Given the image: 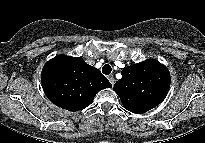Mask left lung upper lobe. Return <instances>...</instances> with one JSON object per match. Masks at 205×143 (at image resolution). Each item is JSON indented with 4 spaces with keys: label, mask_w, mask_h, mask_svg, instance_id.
<instances>
[{
    "label": "left lung upper lobe",
    "mask_w": 205,
    "mask_h": 143,
    "mask_svg": "<svg viewBox=\"0 0 205 143\" xmlns=\"http://www.w3.org/2000/svg\"><path fill=\"white\" fill-rule=\"evenodd\" d=\"M114 91L130 112L141 114L159 105L170 87L168 69L154 59L125 67Z\"/></svg>",
    "instance_id": "1"
}]
</instances>
